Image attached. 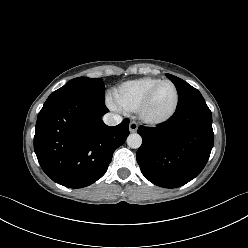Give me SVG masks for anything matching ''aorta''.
Instances as JSON below:
<instances>
[{"instance_id":"obj_1","label":"aorta","mask_w":248,"mask_h":248,"mask_svg":"<svg viewBox=\"0 0 248 248\" xmlns=\"http://www.w3.org/2000/svg\"><path fill=\"white\" fill-rule=\"evenodd\" d=\"M142 144V137L137 133H132L127 137V145L133 149H137Z\"/></svg>"}]
</instances>
